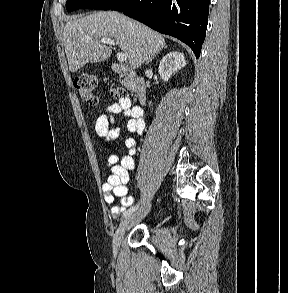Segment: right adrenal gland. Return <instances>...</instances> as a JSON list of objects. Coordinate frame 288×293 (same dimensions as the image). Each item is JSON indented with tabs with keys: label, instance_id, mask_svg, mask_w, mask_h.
I'll return each mask as SVG.
<instances>
[{
	"label": "right adrenal gland",
	"instance_id": "2a0ac1e0",
	"mask_svg": "<svg viewBox=\"0 0 288 293\" xmlns=\"http://www.w3.org/2000/svg\"><path fill=\"white\" fill-rule=\"evenodd\" d=\"M151 61H152V59L148 60V61L146 62V64L150 63Z\"/></svg>",
	"mask_w": 288,
	"mask_h": 293
}]
</instances>
